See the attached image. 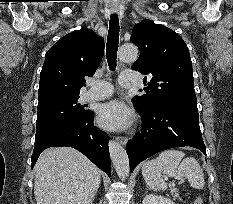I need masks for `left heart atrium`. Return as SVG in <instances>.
Wrapping results in <instances>:
<instances>
[{"label": "left heart atrium", "mask_w": 233, "mask_h": 204, "mask_svg": "<svg viewBox=\"0 0 233 204\" xmlns=\"http://www.w3.org/2000/svg\"><path fill=\"white\" fill-rule=\"evenodd\" d=\"M131 110L121 101L112 100L102 104L98 109L100 126L109 130H122L130 125Z\"/></svg>", "instance_id": "left-heart-atrium-1"}]
</instances>
